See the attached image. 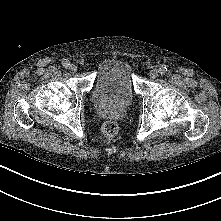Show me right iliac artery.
<instances>
[{
    "instance_id": "obj_1",
    "label": "right iliac artery",
    "mask_w": 221,
    "mask_h": 221,
    "mask_svg": "<svg viewBox=\"0 0 221 221\" xmlns=\"http://www.w3.org/2000/svg\"><path fill=\"white\" fill-rule=\"evenodd\" d=\"M62 65H63V67L67 68L70 65V63H69V61L67 59H64L62 61Z\"/></svg>"
}]
</instances>
